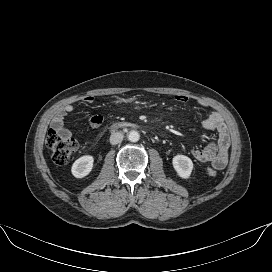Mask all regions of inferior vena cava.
I'll use <instances>...</instances> for the list:
<instances>
[{
    "label": "inferior vena cava",
    "mask_w": 272,
    "mask_h": 272,
    "mask_svg": "<svg viewBox=\"0 0 272 272\" xmlns=\"http://www.w3.org/2000/svg\"><path fill=\"white\" fill-rule=\"evenodd\" d=\"M123 137L121 132H113L110 136V143L112 145L118 144L123 140Z\"/></svg>",
    "instance_id": "inferior-vena-cava-1"
}]
</instances>
